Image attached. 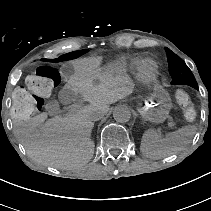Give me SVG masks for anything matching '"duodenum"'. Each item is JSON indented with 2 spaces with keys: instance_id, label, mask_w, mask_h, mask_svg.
Wrapping results in <instances>:
<instances>
[{
  "instance_id": "1",
  "label": "duodenum",
  "mask_w": 211,
  "mask_h": 211,
  "mask_svg": "<svg viewBox=\"0 0 211 211\" xmlns=\"http://www.w3.org/2000/svg\"><path fill=\"white\" fill-rule=\"evenodd\" d=\"M73 86H74V87H77V85H76V84H74Z\"/></svg>"
}]
</instances>
